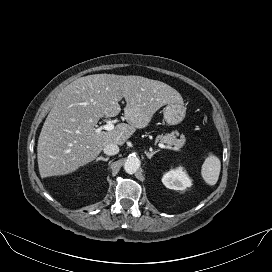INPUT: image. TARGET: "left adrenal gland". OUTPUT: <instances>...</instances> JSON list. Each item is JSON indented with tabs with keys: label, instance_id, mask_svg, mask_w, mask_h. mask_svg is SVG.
<instances>
[{
	"label": "left adrenal gland",
	"instance_id": "left-adrenal-gland-1",
	"mask_svg": "<svg viewBox=\"0 0 272 272\" xmlns=\"http://www.w3.org/2000/svg\"><path fill=\"white\" fill-rule=\"evenodd\" d=\"M157 152H159V150L152 151V152H145V154L149 159H151L154 156V154H156Z\"/></svg>",
	"mask_w": 272,
	"mask_h": 272
}]
</instances>
